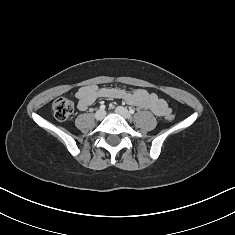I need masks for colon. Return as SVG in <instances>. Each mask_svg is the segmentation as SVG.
<instances>
[{
    "label": "colon",
    "mask_w": 235,
    "mask_h": 235,
    "mask_svg": "<svg viewBox=\"0 0 235 235\" xmlns=\"http://www.w3.org/2000/svg\"><path fill=\"white\" fill-rule=\"evenodd\" d=\"M54 117L60 121L68 119L73 113V104L65 97L57 98L52 104ZM168 121L174 120V115L169 113L166 115Z\"/></svg>",
    "instance_id": "obj_1"
}]
</instances>
